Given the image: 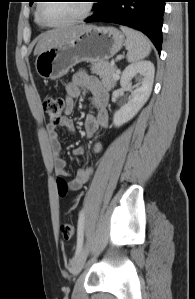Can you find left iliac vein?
Listing matches in <instances>:
<instances>
[{
    "mask_svg": "<svg viewBox=\"0 0 195 299\" xmlns=\"http://www.w3.org/2000/svg\"><path fill=\"white\" fill-rule=\"evenodd\" d=\"M87 254H88V247H87V245H84L81 248L80 252L76 255V257L73 261V264H72L73 276H77L81 272V270L85 264Z\"/></svg>",
    "mask_w": 195,
    "mask_h": 299,
    "instance_id": "1",
    "label": "left iliac vein"
}]
</instances>
